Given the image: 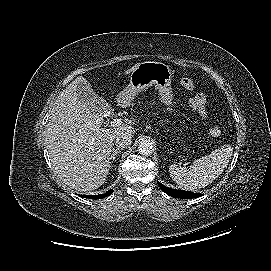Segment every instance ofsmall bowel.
<instances>
[{
  "label": "small bowel",
  "instance_id": "1",
  "mask_svg": "<svg viewBox=\"0 0 271 271\" xmlns=\"http://www.w3.org/2000/svg\"><path fill=\"white\" fill-rule=\"evenodd\" d=\"M207 100L203 94H197L194 98L190 101V106L193 111L198 113L202 118L207 117V110H206Z\"/></svg>",
  "mask_w": 271,
  "mask_h": 271
}]
</instances>
